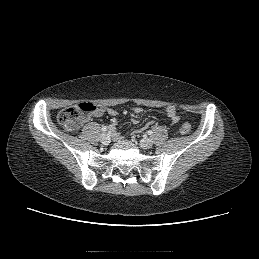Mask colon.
Returning a JSON list of instances; mask_svg holds the SVG:
<instances>
[{
	"label": "colon",
	"mask_w": 259,
	"mask_h": 259,
	"mask_svg": "<svg viewBox=\"0 0 259 259\" xmlns=\"http://www.w3.org/2000/svg\"><path fill=\"white\" fill-rule=\"evenodd\" d=\"M97 109L98 107L91 102L79 103L62 109L57 115V120L65 130L72 132L77 130ZM180 131L184 135L189 134L191 132L190 124H182Z\"/></svg>",
	"instance_id": "obj_1"
}]
</instances>
